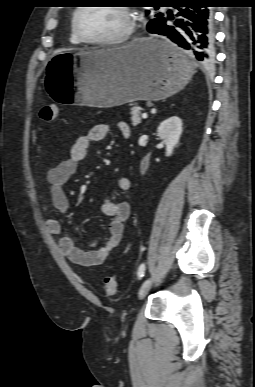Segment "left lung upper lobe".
<instances>
[{
	"label": "left lung upper lobe",
	"mask_w": 255,
	"mask_h": 387,
	"mask_svg": "<svg viewBox=\"0 0 255 387\" xmlns=\"http://www.w3.org/2000/svg\"><path fill=\"white\" fill-rule=\"evenodd\" d=\"M139 2H140V3H145L146 1H145V0H140ZM154 8H155V9H158L159 7H154ZM146 13L148 14V13H149V10H147ZM162 16H163V14H161V13H159V14L156 15L157 18L162 17ZM154 19H156V18H154ZM152 20H153V19H152Z\"/></svg>",
	"instance_id": "left-lung-upper-lobe-1"
}]
</instances>
